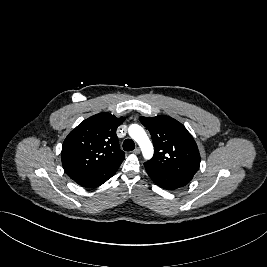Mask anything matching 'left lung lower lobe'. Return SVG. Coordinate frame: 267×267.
Here are the masks:
<instances>
[{"label":"left lung lower lobe","mask_w":267,"mask_h":267,"mask_svg":"<svg viewBox=\"0 0 267 267\" xmlns=\"http://www.w3.org/2000/svg\"><path fill=\"white\" fill-rule=\"evenodd\" d=\"M145 169L152 181L159 187L167 190H175L187 185L191 180L177 177L171 174H166L155 170L144 163Z\"/></svg>","instance_id":"obj_1"}]
</instances>
